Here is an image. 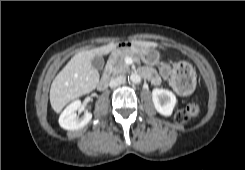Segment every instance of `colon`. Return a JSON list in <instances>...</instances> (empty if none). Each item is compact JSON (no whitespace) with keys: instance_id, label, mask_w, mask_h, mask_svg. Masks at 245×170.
Masks as SVG:
<instances>
[{"instance_id":"colon-1","label":"colon","mask_w":245,"mask_h":170,"mask_svg":"<svg viewBox=\"0 0 245 170\" xmlns=\"http://www.w3.org/2000/svg\"><path fill=\"white\" fill-rule=\"evenodd\" d=\"M187 69V64L184 62L178 63L172 71L171 82L173 84H181L185 81L184 72ZM200 112V106L197 102L189 103L186 108L178 109L175 112V120L179 124L186 123L191 117L197 116Z\"/></svg>"}]
</instances>
